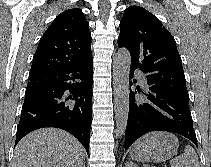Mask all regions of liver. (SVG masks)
<instances>
[{"label": "liver", "mask_w": 211, "mask_h": 167, "mask_svg": "<svg viewBox=\"0 0 211 167\" xmlns=\"http://www.w3.org/2000/svg\"><path fill=\"white\" fill-rule=\"evenodd\" d=\"M85 150L69 133L43 128L26 135L16 146L11 167H82Z\"/></svg>", "instance_id": "obj_1"}]
</instances>
